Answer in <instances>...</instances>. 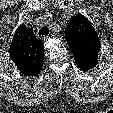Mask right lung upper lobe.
Here are the masks:
<instances>
[{"label": "right lung upper lobe", "instance_id": "1", "mask_svg": "<svg viewBox=\"0 0 113 113\" xmlns=\"http://www.w3.org/2000/svg\"><path fill=\"white\" fill-rule=\"evenodd\" d=\"M10 57L20 73L36 76L43 66L44 45L32 30L23 25L16 30L11 45Z\"/></svg>", "mask_w": 113, "mask_h": 113}]
</instances>
